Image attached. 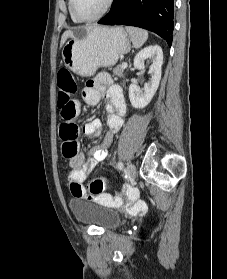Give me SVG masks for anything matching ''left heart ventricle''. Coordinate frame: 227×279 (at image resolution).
Wrapping results in <instances>:
<instances>
[{
    "mask_svg": "<svg viewBox=\"0 0 227 279\" xmlns=\"http://www.w3.org/2000/svg\"><path fill=\"white\" fill-rule=\"evenodd\" d=\"M106 0H74L76 13L82 18L97 15L105 6Z\"/></svg>",
    "mask_w": 227,
    "mask_h": 279,
    "instance_id": "b2bd125f",
    "label": "left heart ventricle"
}]
</instances>
